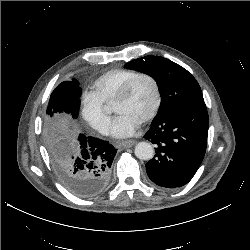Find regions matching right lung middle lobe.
Listing matches in <instances>:
<instances>
[{"mask_svg":"<svg viewBox=\"0 0 250 250\" xmlns=\"http://www.w3.org/2000/svg\"><path fill=\"white\" fill-rule=\"evenodd\" d=\"M80 96L81 87H79V82L76 79L62 82L50 95L46 111L47 116L50 118L57 112H66L71 114L73 118H76L80 107ZM48 123L49 121H47L46 126H48ZM51 154L58 170L59 163L64 155L55 148L51 149Z\"/></svg>","mask_w":250,"mask_h":250,"instance_id":"right-lung-middle-lobe-1","label":"right lung middle lobe"}]
</instances>
